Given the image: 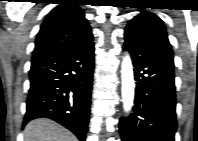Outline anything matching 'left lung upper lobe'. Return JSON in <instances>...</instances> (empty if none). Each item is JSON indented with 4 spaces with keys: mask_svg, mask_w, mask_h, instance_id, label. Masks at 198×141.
<instances>
[{
    "mask_svg": "<svg viewBox=\"0 0 198 141\" xmlns=\"http://www.w3.org/2000/svg\"><path fill=\"white\" fill-rule=\"evenodd\" d=\"M125 34L145 43L170 45L163 21L144 11L129 21Z\"/></svg>",
    "mask_w": 198,
    "mask_h": 141,
    "instance_id": "5c2ea615",
    "label": "left lung upper lobe"
}]
</instances>
